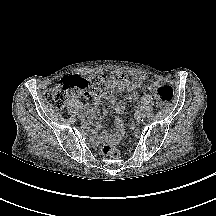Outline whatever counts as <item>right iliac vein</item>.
Listing matches in <instances>:
<instances>
[{"label":"right iliac vein","instance_id":"1","mask_svg":"<svg viewBox=\"0 0 216 216\" xmlns=\"http://www.w3.org/2000/svg\"><path fill=\"white\" fill-rule=\"evenodd\" d=\"M78 117H79V119L81 120V121H83V120H85L86 119V115L85 114H79L78 115Z\"/></svg>","mask_w":216,"mask_h":216}]
</instances>
